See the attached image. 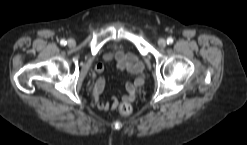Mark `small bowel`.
I'll use <instances>...</instances> for the list:
<instances>
[{
  "label": "small bowel",
  "instance_id": "1",
  "mask_svg": "<svg viewBox=\"0 0 247 145\" xmlns=\"http://www.w3.org/2000/svg\"><path fill=\"white\" fill-rule=\"evenodd\" d=\"M104 59L107 64L114 63L119 70L126 71L127 73L134 75V81L126 84V93L122 96L123 101L132 102L135 99L137 88L143 80V63L139 60L136 54H125L122 51L108 53L105 55ZM104 69V64H98L95 67V73L99 76L94 83L92 95L96 100V105L99 110H115L119 105L118 100L113 99L111 101H104L101 99V95L105 89V80L102 76H100V74L104 71Z\"/></svg>",
  "mask_w": 247,
  "mask_h": 145
}]
</instances>
